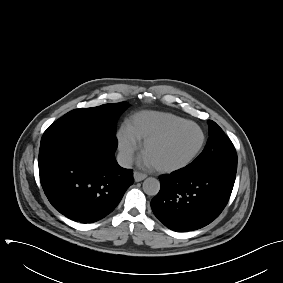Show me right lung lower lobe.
<instances>
[{
	"instance_id": "1",
	"label": "right lung lower lobe",
	"mask_w": 283,
	"mask_h": 283,
	"mask_svg": "<svg viewBox=\"0 0 283 283\" xmlns=\"http://www.w3.org/2000/svg\"><path fill=\"white\" fill-rule=\"evenodd\" d=\"M116 149L115 134L105 130L73 134L40 148V181L52 206L81 223L112 212L134 182L133 171L116 162Z\"/></svg>"
}]
</instances>
